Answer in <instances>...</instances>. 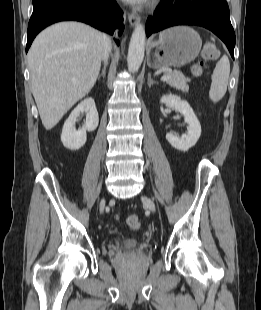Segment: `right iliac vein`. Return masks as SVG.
I'll use <instances>...</instances> for the list:
<instances>
[{
    "mask_svg": "<svg viewBox=\"0 0 261 310\" xmlns=\"http://www.w3.org/2000/svg\"><path fill=\"white\" fill-rule=\"evenodd\" d=\"M104 208H105V199H101L100 204H99L100 213H103Z\"/></svg>",
    "mask_w": 261,
    "mask_h": 310,
    "instance_id": "obj_1",
    "label": "right iliac vein"
}]
</instances>
